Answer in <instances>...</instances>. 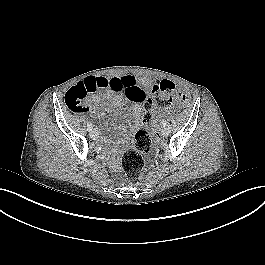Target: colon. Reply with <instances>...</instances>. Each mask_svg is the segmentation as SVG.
<instances>
[{"label": "colon", "mask_w": 265, "mask_h": 265, "mask_svg": "<svg viewBox=\"0 0 265 265\" xmlns=\"http://www.w3.org/2000/svg\"><path fill=\"white\" fill-rule=\"evenodd\" d=\"M97 89L98 86L92 79L71 87L64 97L67 107L75 113L82 112L87 96ZM175 100L186 103L188 97L184 93H178L174 83L163 79L154 85L153 97H149L148 101L142 104L144 107L143 123L146 127L136 133L134 147L126 151L121 158L123 171L130 182L136 183L141 180L144 168L142 154L150 152L155 143V135L147 126L155 123L157 111L168 108Z\"/></svg>", "instance_id": "colon-1"}]
</instances>
